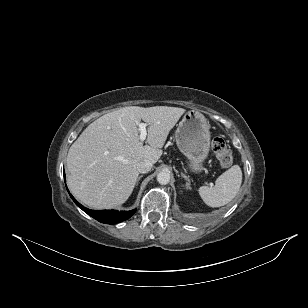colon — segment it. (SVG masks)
<instances>
[{
	"mask_svg": "<svg viewBox=\"0 0 308 308\" xmlns=\"http://www.w3.org/2000/svg\"><path fill=\"white\" fill-rule=\"evenodd\" d=\"M212 151L222 167H229L233 162V154L227 142L220 137L212 140Z\"/></svg>",
	"mask_w": 308,
	"mask_h": 308,
	"instance_id": "5ec220e1",
	"label": "colon"
}]
</instances>
